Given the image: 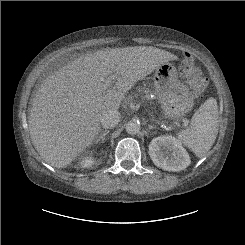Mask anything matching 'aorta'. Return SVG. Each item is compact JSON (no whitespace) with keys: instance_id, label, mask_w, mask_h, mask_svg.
<instances>
[{"instance_id":"obj_1","label":"aorta","mask_w":245,"mask_h":245,"mask_svg":"<svg viewBox=\"0 0 245 245\" xmlns=\"http://www.w3.org/2000/svg\"><path fill=\"white\" fill-rule=\"evenodd\" d=\"M125 129L128 134L135 135L140 131V123L136 120L128 121Z\"/></svg>"}]
</instances>
